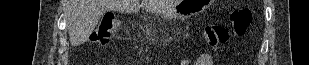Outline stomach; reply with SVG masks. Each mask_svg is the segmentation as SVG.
<instances>
[{
	"label": "stomach",
	"mask_w": 309,
	"mask_h": 65,
	"mask_svg": "<svg viewBox=\"0 0 309 65\" xmlns=\"http://www.w3.org/2000/svg\"><path fill=\"white\" fill-rule=\"evenodd\" d=\"M213 3V0H180L164 14L168 19L185 20L202 13Z\"/></svg>",
	"instance_id": "stomach-1"
}]
</instances>
